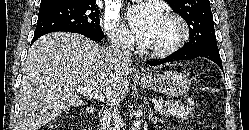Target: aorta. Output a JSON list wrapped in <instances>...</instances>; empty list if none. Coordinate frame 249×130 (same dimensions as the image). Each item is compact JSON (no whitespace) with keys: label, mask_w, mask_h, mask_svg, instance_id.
Instances as JSON below:
<instances>
[{"label":"aorta","mask_w":249,"mask_h":130,"mask_svg":"<svg viewBox=\"0 0 249 130\" xmlns=\"http://www.w3.org/2000/svg\"><path fill=\"white\" fill-rule=\"evenodd\" d=\"M140 124L139 123H134V125L132 126V130H139Z\"/></svg>","instance_id":"1"}]
</instances>
